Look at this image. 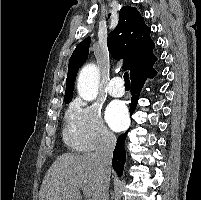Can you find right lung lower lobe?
Wrapping results in <instances>:
<instances>
[{"label":"right lung lower lobe","mask_w":201,"mask_h":200,"mask_svg":"<svg viewBox=\"0 0 201 200\" xmlns=\"http://www.w3.org/2000/svg\"><path fill=\"white\" fill-rule=\"evenodd\" d=\"M157 74V72L153 69V65L150 67L145 68L144 70L134 74L131 77V109L130 114L132 115L135 111L137 100L140 94V91L144 85V82L146 80V77H154ZM128 131L125 134H122L117 139V144L115 146L114 152H113V159H112V166L114 170L117 172L119 177L122 176L123 170H124V164L126 161V152L124 148L125 139L127 136Z\"/></svg>","instance_id":"right-lung-lower-lobe-1"}]
</instances>
